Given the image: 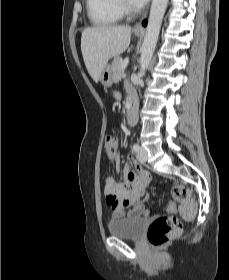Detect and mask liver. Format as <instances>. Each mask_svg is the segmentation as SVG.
<instances>
[{
	"label": "liver",
	"instance_id": "6515ba94",
	"mask_svg": "<svg viewBox=\"0 0 229 280\" xmlns=\"http://www.w3.org/2000/svg\"><path fill=\"white\" fill-rule=\"evenodd\" d=\"M131 39L130 26L100 25L84 29L81 51L85 66L97 83L108 61L123 53Z\"/></svg>",
	"mask_w": 229,
	"mask_h": 280
}]
</instances>
